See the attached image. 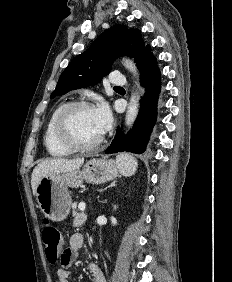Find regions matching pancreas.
Here are the masks:
<instances>
[{
    "instance_id": "1",
    "label": "pancreas",
    "mask_w": 232,
    "mask_h": 282,
    "mask_svg": "<svg viewBox=\"0 0 232 282\" xmlns=\"http://www.w3.org/2000/svg\"><path fill=\"white\" fill-rule=\"evenodd\" d=\"M73 217H74V221H73L74 227H81L86 221V215L84 214V212L76 213L74 211Z\"/></svg>"
}]
</instances>
